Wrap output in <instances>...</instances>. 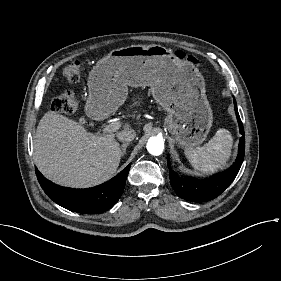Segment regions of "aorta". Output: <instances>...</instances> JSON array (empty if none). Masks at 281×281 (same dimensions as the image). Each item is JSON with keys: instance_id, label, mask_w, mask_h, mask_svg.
Masks as SVG:
<instances>
[{"instance_id": "1", "label": "aorta", "mask_w": 281, "mask_h": 281, "mask_svg": "<svg viewBox=\"0 0 281 281\" xmlns=\"http://www.w3.org/2000/svg\"><path fill=\"white\" fill-rule=\"evenodd\" d=\"M147 150L152 155H161L164 150L163 139L161 137H150L147 142Z\"/></svg>"}]
</instances>
